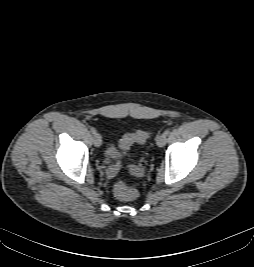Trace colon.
Instances as JSON below:
<instances>
[{
	"mask_svg": "<svg viewBox=\"0 0 254 267\" xmlns=\"http://www.w3.org/2000/svg\"><path fill=\"white\" fill-rule=\"evenodd\" d=\"M149 136L147 131L138 130L134 133L126 134L120 142V148L123 152H127L131 146L135 143L144 142ZM114 194L117 198L121 200H134L138 196V192L135 188L130 187L124 181H118L114 185Z\"/></svg>",
	"mask_w": 254,
	"mask_h": 267,
	"instance_id": "obj_1",
	"label": "colon"
}]
</instances>
